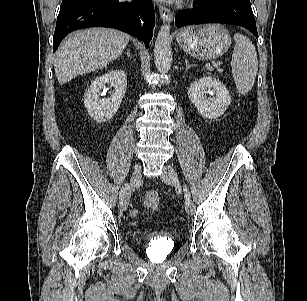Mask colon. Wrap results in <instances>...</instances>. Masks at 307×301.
<instances>
[{"label":"colon","instance_id":"colon-1","mask_svg":"<svg viewBox=\"0 0 307 301\" xmlns=\"http://www.w3.org/2000/svg\"><path fill=\"white\" fill-rule=\"evenodd\" d=\"M143 207L146 211L150 213H156L160 208V199L159 195L155 191L147 192L142 201Z\"/></svg>","mask_w":307,"mask_h":301}]
</instances>
